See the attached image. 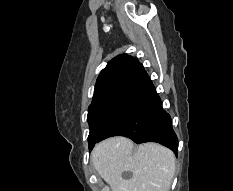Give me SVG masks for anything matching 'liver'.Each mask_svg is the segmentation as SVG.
Instances as JSON below:
<instances>
[{
  "label": "liver",
  "mask_w": 233,
  "mask_h": 191,
  "mask_svg": "<svg viewBox=\"0 0 233 191\" xmlns=\"http://www.w3.org/2000/svg\"><path fill=\"white\" fill-rule=\"evenodd\" d=\"M112 137L98 143L91 153L93 166L111 191H169L175 173L174 153L157 143L141 144ZM131 171L130 179L122 178Z\"/></svg>",
  "instance_id": "obj_1"
}]
</instances>
